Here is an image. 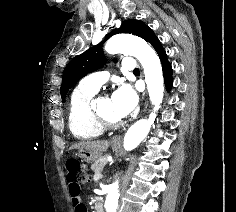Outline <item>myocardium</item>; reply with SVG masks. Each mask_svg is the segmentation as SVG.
I'll return each mask as SVG.
<instances>
[{
  "label": "myocardium",
  "instance_id": "obj_1",
  "mask_svg": "<svg viewBox=\"0 0 236 212\" xmlns=\"http://www.w3.org/2000/svg\"><path fill=\"white\" fill-rule=\"evenodd\" d=\"M108 96L107 93H103L102 97ZM93 113L97 119V121L100 123V125L104 128V129H116L118 127H120L123 122L121 120H110L108 119L106 116H104L98 109V107L96 106L93 109Z\"/></svg>",
  "mask_w": 236,
  "mask_h": 212
}]
</instances>
